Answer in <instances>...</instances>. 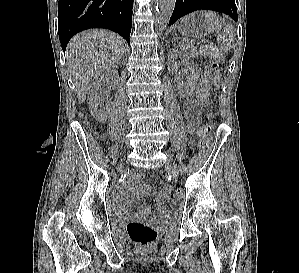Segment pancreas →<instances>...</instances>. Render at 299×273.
<instances>
[{
	"mask_svg": "<svg viewBox=\"0 0 299 273\" xmlns=\"http://www.w3.org/2000/svg\"><path fill=\"white\" fill-rule=\"evenodd\" d=\"M183 49L189 54L191 55L193 58H198L199 56V52L197 50L196 47H194L191 44H184L183 45Z\"/></svg>",
	"mask_w": 299,
	"mask_h": 273,
	"instance_id": "pancreas-1",
	"label": "pancreas"
}]
</instances>
